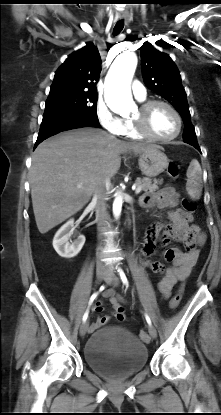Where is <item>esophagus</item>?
Listing matches in <instances>:
<instances>
[{"label": "esophagus", "instance_id": "1", "mask_svg": "<svg viewBox=\"0 0 221 415\" xmlns=\"http://www.w3.org/2000/svg\"><path fill=\"white\" fill-rule=\"evenodd\" d=\"M121 19H125L126 21H128V16L124 15L120 17Z\"/></svg>", "mask_w": 221, "mask_h": 415}]
</instances>
